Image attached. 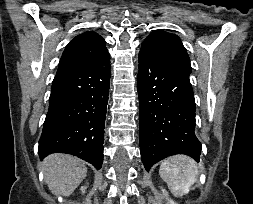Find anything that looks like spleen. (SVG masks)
I'll return each mask as SVG.
<instances>
[{"mask_svg": "<svg viewBox=\"0 0 253 204\" xmlns=\"http://www.w3.org/2000/svg\"><path fill=\"white\" fill-rule=\"evenodd\" d=\"M159 174L169 189L178 195L189 193L199 176L197 163L186 155H175L162 161Z\"/></svg>", "mask_w": 253, "mask_h": 204, "instance_id": "1", "label": "spleen"}]
</instances>
